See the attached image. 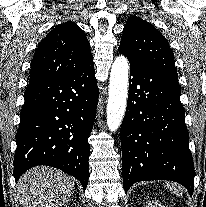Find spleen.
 <instances>
[{
	"label": "spleen",
	"instance_id": "spleen-1",
	"mask_svg": "<svg viewBox=\"0 0 206 207\" xmlns=\"http://www.w3.org/2000/svg\"><path fill=\"white\" fill-rule=\"evenodd\" d=\"M174 189V193H176V194H179L178 193V188L175 186V185H172V187H170V190H173ZM180 196H182V192L180 193Z\"/></svg>",
	"mask_w": 206,
	"mask_h": 207
}]
</instances>
